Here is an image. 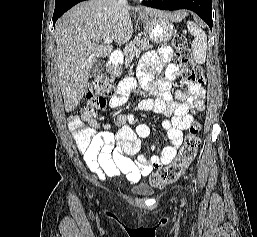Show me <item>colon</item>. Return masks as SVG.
Listing matches in <instances>:
<instances>
[{
  "label": "colon",
  "instance_id": "1",
  "mask_svg": "<svg viewBox=\"0 0 257 237\" xmlns=\"http://www.w3.org/2000/svg\"><path fill=\"white\" fill-rule=\"evenodd\" d=\"M173 46L176 49V60L181 66L183 77L194 85H201L205 82L202 69L195 66L192 61V53L187 45L185 37L177 33L173 38ZM91 99L88 105L95 107L97 104L106 102L105 97L114 93L113 85L106 75L98 76L90 86ZM68 127L73 132L78 143L86 148L92 139V136L82 125V118L76 114L68 117ZM200 124L193 123L188 130L184 139L183 146L178 156L167 166L160 168L151 175L150 183L153 187L162 188L178 180L181 175L188 169L195 159L200 147L199 132Z\"/></svg>",
  "mask_w": 257,
  "mask_h": 237
}]
</instances>
